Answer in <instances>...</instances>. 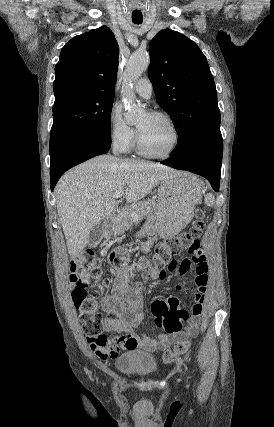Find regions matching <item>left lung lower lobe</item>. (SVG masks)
Wrapping results in <instances>:
<instances>
[{
  "label": "left lung lower lobe",
  "instance_id": "left-lung-lower-lobe-1",
  "mask_svg": "<svg viewBox=\"0 0 274 427\" xmlns=\"http://www.w3.org/2000/svg\"><path fill=\"white\" fill-rule=\"evenodd\" d=\"M171 155V158L161 163L201 175L209 180L215 191H219L223 156V140L221 135L204 137L192 147L180 153L172 152Z\"/></svg>",
  "mask_w": 274,
  "mask_h": 427
}]
</instances>
